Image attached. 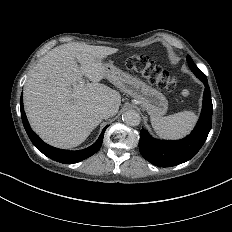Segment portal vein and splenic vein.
Listing matches in <instances>:
<instances>
[{
    "instance_id": "1",
    "label": "portal vein and splenic vein",
    "mask_w": 232,
    "mask_h": 232,
    "mask_svg": "<svg viewBox=\"0 0 232 232\" xmlns=\"http://www.w3.org/2000/svg\"><path fill=\"white\" fill-rule=\"evenodd\" d=\"M84 83L85 82L83 80L79 82L80 85H84Z\"/></svg>"
}]
</instances>
